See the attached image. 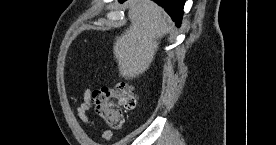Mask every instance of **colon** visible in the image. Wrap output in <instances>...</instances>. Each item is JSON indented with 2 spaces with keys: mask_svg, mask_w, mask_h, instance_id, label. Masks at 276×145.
<instances>
[{
  "mask_svg": "<svg viewBox=\"0 0 276 145\" xmlns=\"http://www.w3.org/2000/svg\"><path fill=\"white\" fill-rule=\"evenodd\" d=\"M91 99L98 118L111 128H121L126 114L138 103L133 87L126 83L96 89L92 91Z\"/></svg>",
  "mask_w": 276,
  "mask_h": 145,
  "instance_id": "1",
  "label": "colon"
}]
</instances>
